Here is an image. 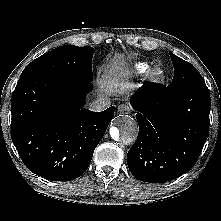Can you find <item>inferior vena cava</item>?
<instances>
[{
	"label": "inferior vena cava",
	"mask_w": 221,
	"mask_h": 221,
	"mask_svg": "<svg viewBox=\"0 0 221 221\" xmlns=\"http://www.w3.org/2000/svg\"><path fill=\"white\" fill-rule=\"evenodd\" d=\"M111 104V101L107 97H101L89 105V109L94 112H100L107 109Z\"/></svg>",
	"instance_id": "obj_1"
}]
</instances>
